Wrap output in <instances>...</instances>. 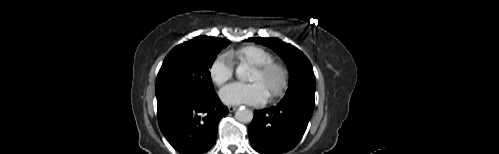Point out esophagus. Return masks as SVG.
I'll use <instances>...</instances> for the list:
<instances>
[{
  "label": "esophagus",
  "instance_id": "obj_1",
  "mask_svg": "<svg viewBox=\"0 0 499 154\" xmlns=\"http://www.w3.org/2000/svg\"><path fill=\"white\" fill-rule=\"evenodd\" d=\"M237 109L236 106H228L229 112H234Z\"/></svg>",
  "mask_w": 499,
  "mask_h": 154
}]
</instances>
